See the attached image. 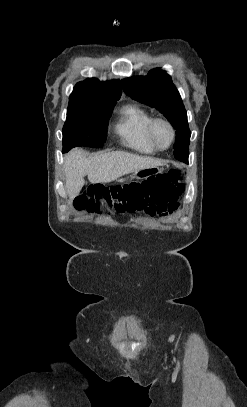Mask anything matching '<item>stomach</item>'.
<instances>
[{
  "mask_svg": "<svg viewBox=\"0 0 247 407\" xmlns=\"http://www.w3.org/2000/svg\"><path fill=\"white\" fill-rule=\"evenodd\" d=\"M162 172V168L157 166H139L138 169H131V178H152V175Z\"/></svg>",
  "mask_w": 247,
  "mask_h": 407,
  "instance_id": "stomach-1",
  "label": "stomach"
}]
</instances>
